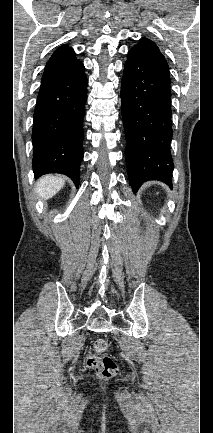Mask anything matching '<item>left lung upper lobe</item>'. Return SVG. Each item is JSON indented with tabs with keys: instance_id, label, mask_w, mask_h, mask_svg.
I'll list each match as a JSON object with an SVG mask.
<instances>
[{
	"instance_id": "obj_1",
	"label": "left lung upper lobe",
	"mask_w": 213,
	"mask_h": 433,
	"mask_svg": "<svg viewBox=\"0 0 213 433\" xmlns=\"http://www.w3.org/2000/svg\"><path fill=\"white\" fill-rule=\"evenodd\" d=\"M134 47L151 51L152 53L160 56L161 58H163L165 60L164 56L160 53L159 48L157 47V45L153 41H151V40H149L147 38H141L140 39V43H138Z\"/></svg>"
}]
</instances>
